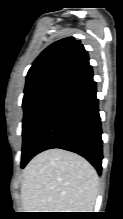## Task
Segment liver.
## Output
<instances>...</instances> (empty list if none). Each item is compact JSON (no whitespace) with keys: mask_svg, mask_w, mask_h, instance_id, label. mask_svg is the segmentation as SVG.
Masks as SVG:
<instances>
[{"mask_svg":"<svg viewBox=\"0 0 123 219\" xmlns=\"http://www.w3.org/2000/svg\"><path fill=\"white\" fill-rule=\"evenodd\" d=\"M98 191L94 167L70 151L46 150L23 171L21 199L25 212H92Z\"/></svg>","mask_w":123,"mask_h":219,"instance_id":"obj_1","label":"liver"}]
</instances>
